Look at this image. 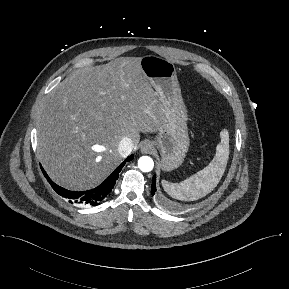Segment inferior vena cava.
Here are the masks:
<instances>
[{
  "mask_svg": "<svg viewBox=\"0 0 289 289\" xmlns=\"http://www.w3.org/2000/svg\"><path fill=\"white\" fill-rule=\"evenodd\" d=\"M133 150L132 140L129 137H124L118 146V152L121 156L127 157Z\"/></svg>",
  "mask_w": 289,
  "mask_h": 289,
  "instance_id": "inferior-vena-cava-1",
  "label": "inferior vena cava"
}]
</instances>
